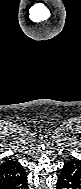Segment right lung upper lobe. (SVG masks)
<instances>
[{"instance_id": "right-lung-upper-lobe-1", "label": "right lung upper lobe", "mask_w": 81, "mask_h": 189, "mask_svg": "<svg viewBox=\"0 0 81 189\" xmlns=\"http://www.w3.org/2000/svg\"><path fill=\"white\" fill-rule=\"evenodd\" d=\"M12 162H14V161L13 160H7L2 166H5V165L10 164Z\"/></svg>"}]
</instances>
